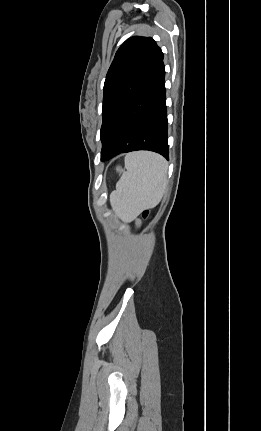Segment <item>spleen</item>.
<instances>
[{"label":"spleen","mask_w":261,"mask_h":431,"mask_svg":"<svg viewBox=\"0 0 261 431\" xmlns=\"http://www.w3.org/2000/svg\"><path fill=\"white\" fill-rule=\"evenodd\" d=\"M125 167L110 201L119 216L133 218L161 201L167 186V163L158 154L135 152L126 155Z\"/></svg>","instance_id":"spleen-1"}]
</instances>
